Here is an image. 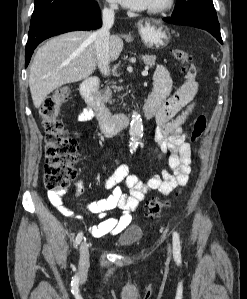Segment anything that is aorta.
Returning a JSON list of instances; mask_svg holds the SVG:
<instances>
[{"label": "aorta", "mask_w": 247, "mask_h": 299, "mask_svg": "<svg viewBox=\"0 0 247 299\" xmlns=\"http://www.w3.org/2000/svg\"><path fill=\"white\" fill-rule=\"evenodd\" d=\"M129 134H130L129 147H130V152L132 153L136 151V149L138 148L139 139L143 134L142 118L140 114H138L136 111L132 112Z\"/></svg>", "instance_id": "aorta-1"}]
</instances>
